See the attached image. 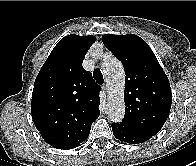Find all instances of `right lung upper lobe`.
I'll list each match as a JSON object with an SVG mask.
<instances>
[{
	"label": "right lung upper lobe",
	"mask_w": 196,
	"mask_h": 166,
	"mask_svg": "<svg viewBox=\"0 0 196 166\" xmlns=\"http://www.w3.org/2000/svg\"><path fill=\"white\" fill-rule=\"evenodd\" d=\"M95 36L61 39L36 77L31 112L34 124L50 145L80 144L98 118L100 86L82 67Z\"/></svg>",
	"instance_id": "1"
}]
</instances>
